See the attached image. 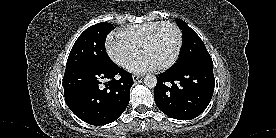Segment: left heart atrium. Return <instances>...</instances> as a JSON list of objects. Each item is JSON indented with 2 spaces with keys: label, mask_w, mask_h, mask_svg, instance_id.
Masks as SVG:
<instances>
[{
  "label": "left heart atrium",
  "mask_w": 276,
  "mask_h": 138,
  "mask_svg": "<svg viewBox=\"0 0 276 138\" xmlns=\"http://www.w3.org/2000/svg\"><path fill=\"white\" fill-rule=\"evenodd\" d=\"M159 67L151 57L143 54L130 64L129 70L133 73L141 74L155 71Z\"/></svg>",
  "instance_id": "obj_1"
}]
</instances>
